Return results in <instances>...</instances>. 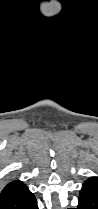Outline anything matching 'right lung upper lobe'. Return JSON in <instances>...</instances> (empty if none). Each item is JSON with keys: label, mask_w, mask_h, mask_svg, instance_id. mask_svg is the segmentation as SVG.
Instances as JSON below:
<instances>
[{"label": "right lung upper lobe", "mask_w": 98, "mask_h": 209, "mask_svg": "<svg viewBox=\"0 0 98 209\" xmlns=\"http://www.w3.org/2000/svg\"><path fill=\"white\" fill-rule=\"evenodd\" d=\"M25 185L19 180H13L8 183L4 189L0 192V203L7 200L10 196L24 188Z\"/></svg>", "instance_id": "cb5924a9"}]
</instances>
